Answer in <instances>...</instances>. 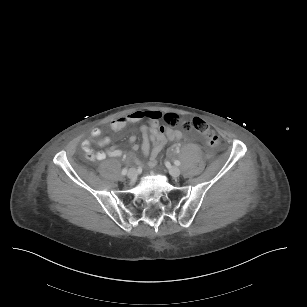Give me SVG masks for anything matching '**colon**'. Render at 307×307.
<instances>
[{"mask_svg": "<svg viewBox=\"0 0 307 307\" xmlns=\"http://www.w3.org/2000/svg\"><path fill=\"white\" fill-rule=\"evenodd\" d=\"M164 121L166 124L171 126H177L178 124V118L174 114H166L164 116ZM184 130H194L197 133L204 136L206 143L211 146L215 147L219 144V136L218 134L211 128L209 125L201 118L195 117L191 120L186 121L183 124ZM168 130V127L166 125H162L159 127H155L153 129V132L155 134H159L162 132H166Z\"/></svg>", "mask_w": 307, "mask_h": 307, "instance_id": "colon-1", "label": "colon"}]
</instances>
